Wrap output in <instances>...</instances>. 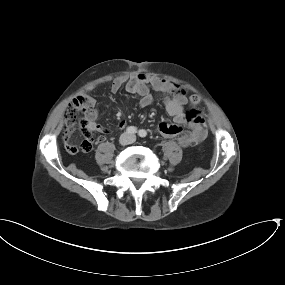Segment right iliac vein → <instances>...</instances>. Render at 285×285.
<instances>
[{"mask_svg":"<svg viewBox=\"0 0 285 285\" xmlns=\"http://www.w3.org/2000/svg\"><path fill=\"white\" fill-rule=\"evenodd\" d=\"M130 139H131V138H130V136H129L128 134H124V135H122V136L120 137L119 143H120L121 145H126V144L129 143Z\"/></svg>","mask_w":285,"mask_h":285,"instance_id":"63e3f726","label":"right iliac vein"}]
</instances>
